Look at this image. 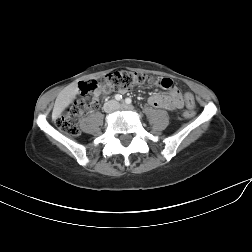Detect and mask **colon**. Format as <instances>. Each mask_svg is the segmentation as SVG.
<instances>
[{"label":"colon","mask_w":252,"mask_h":252,"mask_svg":"<svg viewBox=\"0 0 252 252\" xmlns=\"http://www.w3.org/2000/svg\"><path fill=\"white\" fill-rule=\"evenodd\" d=\"M158 81L142 72L119 71L106 74L98 80L84 82L80 85L78 98L70 108L56 119V125L62 132L76 137L80 134L76 118L89 109H95L98 106L101 95L114 91L127 92L134 86L157 84ZM163 84L166 88L171 86L169 82H164ZM189 94L186 93L184 96L188 110L183 115L187 118L195 114L193 110L195 101Z\"/></svg>","instance_id":"5ec220e1"}]
</instances>
